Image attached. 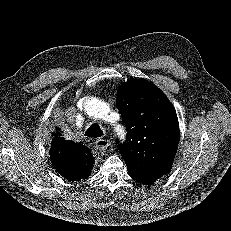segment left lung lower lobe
Returning <instances> with one entry per match:
<instances>
[{"mask_svg":"<svg viewBox=\"0 0 231 231\" xmlns=\"http://www.w3.org/2000/svg\"><path fill=\"white\" fill-rule=\"evenodd\" d=\"M130 176L135 179L137 182L143 184V185H151L153 184L157 179H159L161 174H154V173H132L129 172Z\"/></svg>","mask_w":231,"mask_h":231,"instance_id":"0a47b994","label":"left lung lower lobe"}]
</instances>
